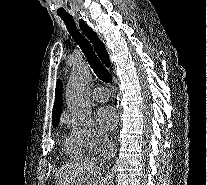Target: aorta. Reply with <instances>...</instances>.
<instances>
[{"mask_svg":"<svg viewBox=\"0 0 207 185\" xmlns=\"http://www.w3.org/2000/svg\"><path fill=\"white\" fill-rule=\"evenodd\" d=\"M91 78L90 67L87 64H76L72 68L66 86L65 97L68 109L82 120L91 114V103L89 99V84Z\"/></svg>","mask_w":207,"mask_h":185,"instance_id":"1","label":"aorta"}]
</instances>
